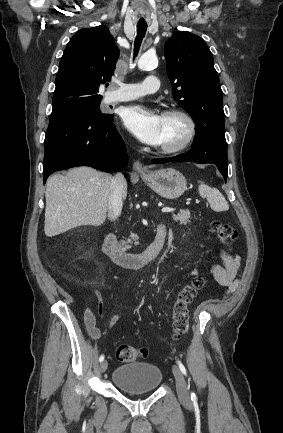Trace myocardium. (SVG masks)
<instances>
[{
    "label": "myocardium",
    "mask_w": 283,
    "mask_h": 433,
    "mask_svg": "<svg viewBox=\"0 0 283 433\" xmlns=\"http://www.w3.org/2000/svg\"><path fill=\"white\" fill-rule=\"evenodd\" d=\"M179 116L187 123V134L185 138L175 147L161 151L166 157H175L184 153L194 141L197 135L198 125L195 118L186 110L181 108H168L163 112V116Z\"/></svg>",
    "instance_id": "obj_1"
}]
</instances>
